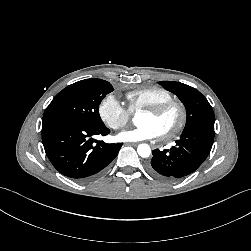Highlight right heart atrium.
Here are the masks:
<instances>
[{
    "label": "right heart atrium",
    "instance_id": "right-heart-atrium-1",
    "mask_svg": "<svg viewBox=\"0 0 251 251\" xmlns=\"http://www.w3.org/2000/svg\"><path fill=\"white\" fill-rule=\"evenodd\" d=\"M98 114L109 128L118 130L126 126L130 120L131 112L114 95H107L100 102Z\"/></svg>",
    "mask_w": 251,
    "mask_h": 251
}]
</instances>
